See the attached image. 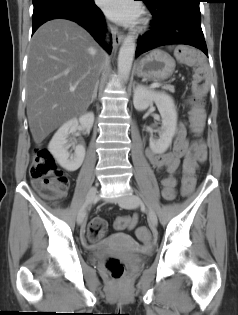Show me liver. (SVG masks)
<instances>
[{"mask_svg":"<svg viewBox=\"0 0 238 315\" xmlns=\"http://www.w3.org/2000/svg\"><path fill=\"white\" fill-rule=\"evenodd\" d=\"M104 60L91 35L72 21L51 20L35 32L28 53L26 100L36 144L87 110Z\"/></svg>","mask_w":238,"mask_h":315,"instance_id":"1","label":"liver"}]
</instances>
